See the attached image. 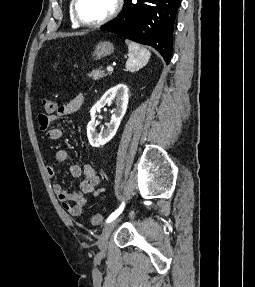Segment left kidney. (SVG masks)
I'll use <instances>...</instances> for the list:
<instances>
[{
	"label": "left kidney",
	"mask_w": 255,
	"mask_h": 287,
	"mask_svg": "<svg viewBox=\"0 0 255 287\" xmlns=\"http://www.w3.org/2000/svg\"><path fill=\"white\" fill-rule=\"evenodd\" d=\"M129 90L125 84H117L114 88H110L107 90L105 94H103L102 98H100L99 102L94 104L93 108L90 110L91 120L88 122L87 126V136L88 140L93 147H100V145L107 144L112 140L113 136H115L120 122L125 116V112L128 106L129 100ZM115 102L117 108L114 110V114H112L110 124H106L107 130L101 128L100 134H98L96 128L100 122H97L96 112H100V108H104L106 104H112Z\"/></svg>",
	"instance_id": "obj_1"
}]
</instances>
